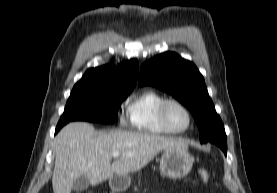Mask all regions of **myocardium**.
<instances>
[{"instance_id":"1","label":"myocardium","mask_w":277,"mask_h":193,"mask_svg":"<svg viewBox=\"0 0 277 193\" xmlns=\"http://www.w3.org/2000/svg\"><path fill=\"white\" fill-rule=\"evenodd\" d=\"M170 104H177L181 108H183V110L186 112V114L188 116V125H187L186 128H184L182 130H175V129H173L169 125L168 120H167L166 112H167V107ZM158 117H159V122H160V125L162 126V128L167 133H170V134H183V133H186L191 128V126L193 124V115H192V112L189 109V107L184 102H182V101H180L178 99H175V98H168V99H165L162 102V104L160 105V108H159Z\"/></svg>"}]
</instances>
